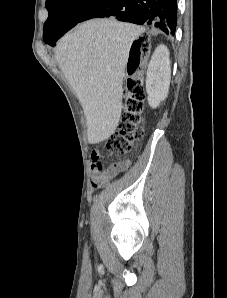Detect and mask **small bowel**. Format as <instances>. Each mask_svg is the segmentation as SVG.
<instances>
[{
  "label": "small bowel",
  "instance_id": "small-bowel-1",
  "mask_svg": "<svg viewBox=\"0 0 227 298\" xmlns=\"http://www.w3.org/2000/svg\"><path fill=\"white\" fill-rule=\"evenodd\" d=\"M93 152L94 153L89 154V157L92 167L93 184L95 187L106 183L109 179L126 170L129 166L128 160H119L104 169L102 167L101 153L99 151Z\"/></svg>",
  "mask_w": 227,
  "mask_h": 298
}]
</instances>
